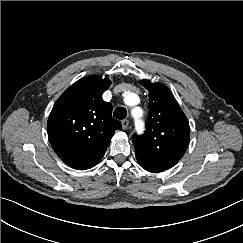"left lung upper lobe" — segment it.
Masks as SVG:
<instances>
[{"label":"left lung upper lobe","mask_w":243,"mask_h":243,"mask_svg":"<svg viewBox=\"0 0 243 243\" xmlns=\"http://www.w3.org/2000/svg\"><path fill=\"white\" fill-rule=\"evenodd\" d=\"M149 91V114L144 135H133L139 165L149 172L173 167L184 155L190 138L189 122L169 88L142 80Z\"/></svg>","instance_id":"5c2ea615"}]
</instances>
